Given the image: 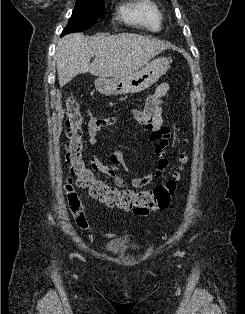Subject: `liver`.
I'll list each match as a JSON object with an SVG mask.
<instances>
[{
    "label": "liver",
    "instance_id": "obj_1",
    "mask_svg": "<svg viewBox=\"0 0 245 314\" xmlns=\"http://www.w3.org/2000/svg\"><path fill=\"white\" fill-rule=\"evenodd\" d=\"M168 48L170 45L161 40L135 33L94 37L81 33L67 35L59 39L56 47L59 85L63 87L76 75L87 72L99 77L128 75Z\"/></svg>",
    "mask_w": 245,
    "mask_h": 314
}]
</instances>
